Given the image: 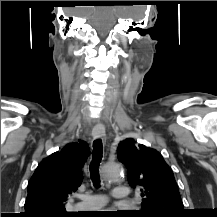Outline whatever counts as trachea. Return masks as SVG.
Listing matches in <instances>:
<instances>
[{"label": "trachea", "instance_id": "obj_1", "mask_svg": "<svg viewBox=\"0 0 217 217\" xmlns=\"http://www.w3.org/2000/svg\"><path fill=\"white\" fill-rule=\"evenodd\" d=\"M102 153V141L97 139L93 142V155L92 162L90 164V176L95 187L100 185L98 167L102 159Z\"/></svg>", "mask_w": 217, "mask_h": 217}]
</instances>
